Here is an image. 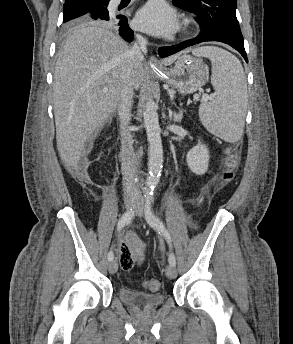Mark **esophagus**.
<instances>
[{
	"instance_id": "34e87169",
	"label": "esophagus",
	"mask_w": 293,
	"mask_h": 344,
	"mask_svg": "<svg viewBox=\"0 0 293 344\" xmlns=\"http://www.w3.org/2000/svg\"><path fill=\"white\" fill-rule=\"evenodd\" d=\"M149 65L152 67V68H160L161 64L160 62L158 61V59L155 57V56H150V59H149Z\"/></svg>"
}]
</instances>
